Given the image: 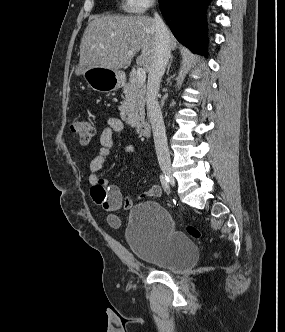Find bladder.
Returning <instances> with one entry per match:
<instances>
[{
	"instance_id": "obj_1",
	"label": "bladder",
	"mask_w": 285,
	"mask_h": 332,
	"mask_svg": "<svg viewBox=\"0 0 285 332\" xmlns=\"http://www.w3.org/2000/svg\"><path fill=\"white\" fill-rule=\"evenodd\" d=\"M126 242L138 260L175 273L191 268L199 257L192 239L175 230L171 214L152 201L138 203L131 209Z\"/></svg>"
}]
</instances>
